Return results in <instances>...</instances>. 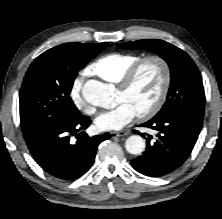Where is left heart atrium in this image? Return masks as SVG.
<instances>
[{
	"mask_svg": "<svg viewBox=\"0 0 222 219\" xmlns=\"http://www.w3.org/2000/svg\"><path fill=\"white\" fill-rule=\"evenodd\" d=\"M136 116L137 112L133 106L122 101L113 109L102 112L95 119V125L102 131H117L128 125Z\"/></svg>",
	"mask_w": 222,
	"mask_h": 219,
	"instance_id": "left-heart-atrium-1",
	"label": "left heart atrium"
}]
</instances>
